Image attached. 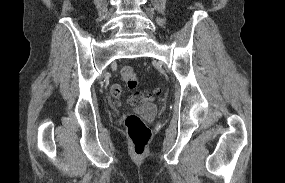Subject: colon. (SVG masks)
<instances>
[{
	"instance_id": "colon-1",
	"label": "colon",
	"mask_w": 285,
	"mask_h": 183,
	"mask_svg": "<svg viewBox=\"0 0 285 183\" xmlns=\"http://www.w3.org/2000/svg\"><path fill=\"white\" fill-rule=\"evenodd\" d=\"M121 76L129 88L133 89L137 86V75L131 66L122 67ZM157 93V90H153L149 92L147 96L153 97ZM144 97L145 95L143 93H136L130 98V102L137 104L141 102ZM124 123L134 152L136 154H142L145 152L151 139V130L139 116L134 114L128 115Z\"/></svg>"
}]
</instances>
